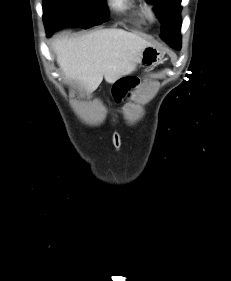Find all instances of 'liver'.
I'll return each mask as SVG.
<instances>
[{
  "label": "liver",
  "mask_w": 231,
  "mask_h": 281,
  "mask_svg": "<svg viewBox=\"0 0 231 281\" xmlns=\"http://www.w3.org/2000/svg\"><path fill=\"white\" fill-rule=\"evenodd\" d=\"M52 46L66 78L81 83L91 93L103 78L114 83L131 74L142 51L151 44L138 35L113 28L77 38L58 36Z\"/></svg>",
  "instance_id": "obj_1"
}]
</instances>
